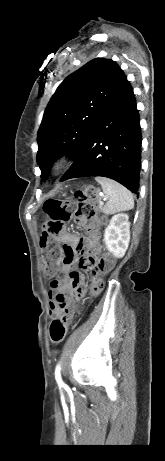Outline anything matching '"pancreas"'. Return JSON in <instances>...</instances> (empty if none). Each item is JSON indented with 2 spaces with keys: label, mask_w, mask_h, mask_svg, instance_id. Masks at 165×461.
<instances>
[{
  "label": "pancreas",
  "mask_w": 165,
  "mask_h": 461,
  "mask_svg": "<svg viewBox=\"0 0 165 461\" xmlns=\"http://www.w3.org/2000/svg\"><path fill=\"white\" fill-rule=\"evenodd\" d=\"M99 201H100V200H99ZM99 201H98V202H99ZM96 209H97V210L103 211V206H102L101 204H99V205L96 207Z\"/></svg>",
  "instance_id": "pancreas-1"
}]
</instances>
